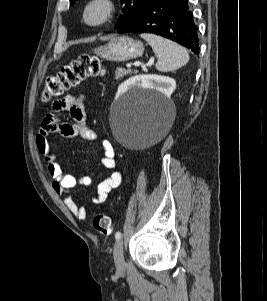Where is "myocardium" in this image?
<instances>
[{"label":"myocardium","mask_w":267,"mask_h":301,"mask_svg":"<svg viewBox=\"0 0 267 301\" xmlns=\"http://www.w3.org/2000/svg\"><path fill=\"white\" fill-rule=\"evenodd\" d=\"M99 9L97 17H91V12ZM117 6L113 0H88L83 9V22L91 27L102 26L110 22L116 14Z\"/></svg>","instance_id":"f54148a6"}]
</instances>
